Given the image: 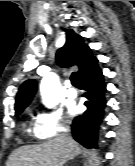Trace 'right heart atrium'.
<instances>
[{"label":"right heart atrium","mask_w":135,"mask_h":166,"mask_svg":"<svg viewBox=\"0 0 135 166\" xmlns=\"http://www.w3.org/2000/svg\"><path fill=\"white\" fill-rule=\"evenodd\" d=\"M66 127L62 112L58 109H42L38 111L33 133L39 140L53 138L65 132Z\"/></svg>","instance_id":"d8ad5b80"}]
</instances>
